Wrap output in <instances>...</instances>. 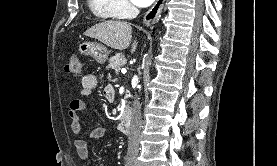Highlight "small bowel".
Listing matches in <instances>:
<instances>
[{
  "label": "small bowel",
  "mask_w": 277,
  "mask_h": 166,
  "mask_svg": "<svg viewBox=\"0 0 277 166\" xmlns=\"http://www.w3.org/2000/svg\"><path fill=\"white\" fill-rule=\"evenodd\" d=\"M98 83L97 76L94 73H89L82 78V89L79 92V97L73 99L69 104L68 115L71 121V129L75 134L74 139V148L77 155L81 160L86 161L89 157V151L87 147V141L81 137V121H80V112L86 109V105L82 100V97L88 96L93 93ZM104 97L108 101L114 99V91L112 87H107L104 90ZM105 135L104 127H97L93 129L89 134V139H99Z\"/></svg>",
  "instance_id": "1"
}]
</instances>
